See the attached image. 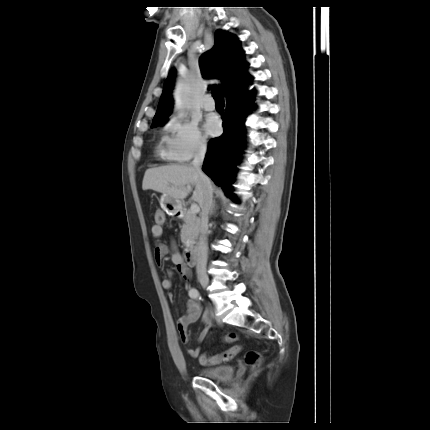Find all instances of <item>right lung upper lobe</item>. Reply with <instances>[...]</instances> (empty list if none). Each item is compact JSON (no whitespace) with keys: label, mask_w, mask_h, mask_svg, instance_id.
Masks as SVG:
<instances>
[{"label":"right lung upper lobe","mask_w":430,"mask_h":430,"mask_svg":"<svg viewBox=\"0 0 430 430\" xmlns=\"http://www.w3.org/2000/svg\"><path fill=\"white\" fill-rule=\"evenodd\" d=\"M243 56L237 38L219 30L215 33L213 48L200 58L202 74L207 78L221 79V87L226 94L230 88L236 87L249 76L246 73L248 64ZM173 77L174 72L170 71L153 119L155 123L164 122L171 113Z\"/></svg>","instance_id":"cb5924a9"}]
</instances>
